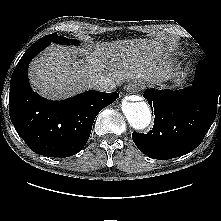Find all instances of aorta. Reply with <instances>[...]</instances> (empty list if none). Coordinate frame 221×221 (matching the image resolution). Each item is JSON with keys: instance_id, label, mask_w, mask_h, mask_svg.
<instances>
[{"instance_id": "762f6f07", "label": "aorta", "mask_w": 221, "mask_h": 221, "mask_svg": "<svg viewBox=\"0 0 221 221\" xmlns=\"http://www.w3.org/2000/svg\"><path fill=\"white\" fill-rule=\"evenodd\" d=\"M122 111L130 124L135 130L147 128L151 122V112L148 104L144 101L122 102Z\"/></svg>"}]
</instances>
